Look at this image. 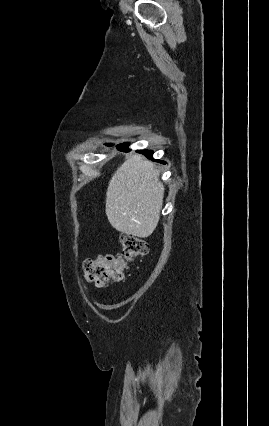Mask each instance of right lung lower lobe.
I'll list each match as a JSON object with an SVG mask.
<instances>
[{
	"label": "right lung lower lobe",
	"mask_w": 269,
	"mask_h": 426,
	"mask_svg": "<svg viewBox=\"0 0 269 426\" xmlns=\"http://www.w3.org/2000/svg\"><path fill=\"white\" fill-rule=\"evenodd\" d=\"M118 149L128 151L127 144L119 145ZM139 152H140V153H142V154H144L146 157H148V158H151V159H152V154H153V152H152V151H150V150H143V151H139ZM159 162H160V161H159ZM162 163H163V162H162Z\"/></svg>",
	"instance_id": "98d812e1"
}]
</instances>
